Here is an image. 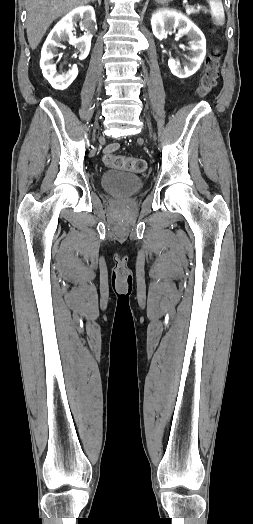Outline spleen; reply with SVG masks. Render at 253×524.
<instances>
[{"label":"spleen","instance_id":"3e777b00","mask_svg":"<svg viewBox=\"0 0 253 524\" xmlns=\"http://www.w3.org/2000/svg\"><path fill=\"white\" fill-rule=\"evenodd\" d=\"M210 8L211 15L215 19L217 25H223L225 21V14L223 4L221 0H207Z\"/></svg>","mask_w":253,"mask_h":524}]
</instances>
